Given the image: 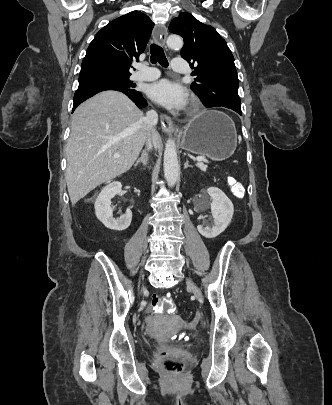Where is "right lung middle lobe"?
<instances>
[{"label":"right lung middle lobe","mask_w":332,"mask_h":405,"mask_svg":"<svg viewBox=\"0 0 332 405\" xmlns=\"http://www.w3.org/2000/svg\"><path fill=\"white\" fill-rule=\"evenodd\" d=\"M130 75H121L114 73H99L79 76V87L83 89L94 85H114L132 91L135 84L129 80Z\"/></svg>","instance_id":"obj_1"}]
</instances>
